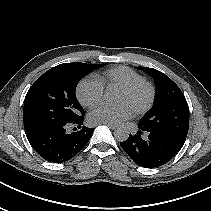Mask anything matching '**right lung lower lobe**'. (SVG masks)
Returning a JSON list of instances; mask_svg holds the SVG:
<instances>
[{
  "instance_id": "right-lung-lower-lobe-1",
  "label": "right lung lower lobe",
  "mask_w": 211,
  "mask_h": 211,
  "mask_svg": "<svg viewBox=\"0 0 211 211\" xmlns=\"http://www.w3.org/2000/svg\"><path fill=\"white\" fill-rule=\"evenodd\" d=\"M72 125H77L79 130L74 128V132H68ZM81 125L83 117L68 124L28 128L25 129V133L32 147L43 159L62 163L78 154L89 142L94 128Z\"/></svg>"
}]
</instances>
